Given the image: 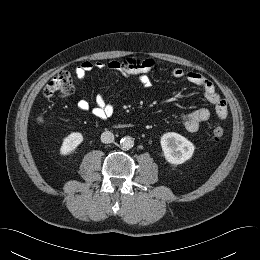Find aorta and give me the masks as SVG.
Masks as SVG:
<instances>
[{
    "label": "aorta",
    "mask_w": 260,
    "mask_h": 260,
    "mask_svg": "<svg viewBox=\"0 0 260 260\" xmlns=\"http://www.w3.org/2000/svg\"><path fill=\"white\" fill-rule=\"evenodd\" d=\"M134 140L130 136H125L120 140V146L123 150H129L133 147Z\"/></svg>",
    "instance_id": "aorta-1"
}]
</instances>
